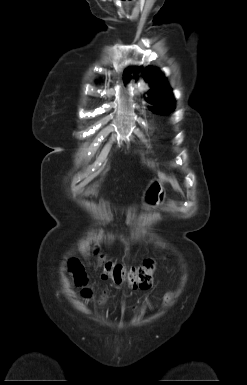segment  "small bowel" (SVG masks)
<instances>
[{
    "instance_id": "c3829d8e",
    "label": "small bowel",
    "mask_w": 247,
    "mask_h": 385,
    "mask_svg": "<svg viewBox=\"0 0 247 385\" xmlns=\"http://www.w3.org/2000/svg\"><path fill=\"white\" fill-rule=\"evenodd\" d=\"M108 296H109L108 290H104L103 293L101 294L99 300H98V307L99 308H102L106 304V302L108 300ZM171 298H172V292H167L164 296V304L169 303Z\"/></svg>"
}]
</instances>
